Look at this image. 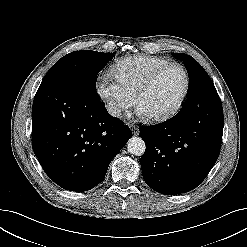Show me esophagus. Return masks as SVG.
Wrapping results in <instances>:
<instances>
[{"label": "esophagus", "mask_w": 247, "mask_h": 247, "mask_svg": "<svg viewBox=\"0 0 247 247\" xmlns=\"http://www.w3.org/2000/svg\"><path fill=\"white\" fill-rule=\"evenodd\" d=\"M130 128H131L132 133H133L134 135H137V134H138L139 128H138L137 126H135V125H130Z\"/></svg>", "instance_id": "1"}]
</instances>
